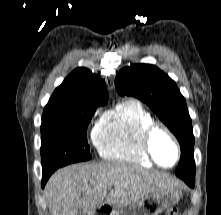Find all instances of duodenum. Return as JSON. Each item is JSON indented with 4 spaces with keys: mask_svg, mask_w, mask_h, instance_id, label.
<instances>
[{
    "mask_svg": "<svg viewBox=\"0 0 221 215\" xmlns=\"http://www.w3.org/2000/svg\"><path fill=\"white\" fill-rule=\"evenodd\" d=\"M110 210H111L110 206L103 204L98 207V209L93 215H109Z\"/></svg>",
    "mask_w": 221,
    "mask_h": 215,
    "instance_id": "1",
    "label": "duodenum"
}]
</instances>
